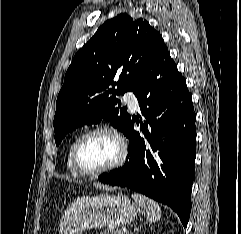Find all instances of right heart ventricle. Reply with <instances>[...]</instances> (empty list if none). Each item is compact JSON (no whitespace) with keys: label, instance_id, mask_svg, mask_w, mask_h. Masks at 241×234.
I'll use <instances>...</instances> for the list:
<instances>
[{"label":"right heart ventricle","instance_id":"1","mask_svg":"<svg viewBox=\"0 0 241 234\" xmlns=\"http://www.w3.org/2000/svg\"><path fill=\"white\" fill-rule=\"evenodd\" d=\"M78 138H79V136H75L72 139V141H71V143H70V145L68 147L67 156H66V167H67V170L70 172L71 175H73L75 177L80 176V174L74 168L73 160H72L73 148H74L75 143L78 140Z\"/></svg>","mask_w":241,"mask_h":234}]
</instances>
